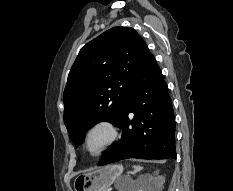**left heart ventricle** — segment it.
<instances>
[{"label":"left heart ventricle","mask_w":233,"mask_h":191,"mask_svg":"<svg viewBox=\"0 0 233 191\" xmlns=\"http://www.w3.org/2000/svg\"><path fill=\"white\" fill-rule=\"evenodd\" d=\"M105 139V132L104 131H97L95 132L91 139H90V146L94 150L96 149Z\"/></svg>","instance_id":"obj_1"}]
</instances>
